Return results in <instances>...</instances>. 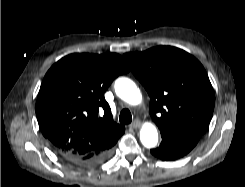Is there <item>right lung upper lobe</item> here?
I'll list each match as a JSON object with an SVG mask.
<instances>
[{"instance_id": "1", "label": "right lung upper lobe", "mask_w": 245, "mask_h": 187, "mask_svg": "<svg viewBox=\"0 0 245 187\" xmlns=\"http://www.w3.org/2000/svg\"><path fill=\"white\" fill-rule=\"evenodd\" d=\"M129 68L116 53L70 54L46 73L36 102L44 137L62 155L84 156L116 144L125 132L103 94ZM100 110L104 116L99 117Z\"/></svg>"}]
</instances>
